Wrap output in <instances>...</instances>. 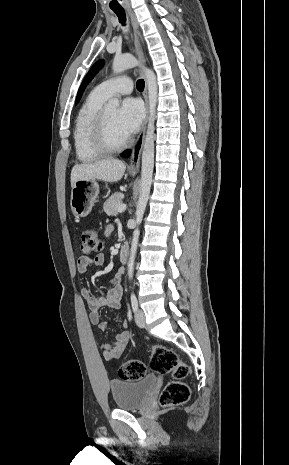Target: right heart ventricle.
Masks as SVG:
<instances>
[{
	"label": "right heart ventricle",
	"mask_w": 289,
	"mask_h": 465,
	"mask_svg": "<svg viewBox=\"0 0 289 465\" xmlns=\"http://www.w3.org/2000/svg\"><path fill=\"white\" fill-rule=\"evenodd\" d=\"M105 98L94 89L81 105L74 122L73 141L76 156L81 162H93L106 153L96 148L92 139L93 123L104 106Z\"/></svg>",
	"instance_id": "right-heart-ventricle-1"
}]
</instances>
